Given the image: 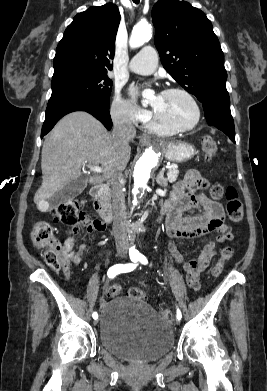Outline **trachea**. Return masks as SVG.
Masks as SVG:
<instances>
[{
  "instance_id": "1",
  "label": "trachea",
  "mask_w": 267,
  "mask_h": 391,
  "mask_svg": "<svg viewBox=\"0 0 267 391\" xmlns=\"http://www.w3.org/2000/svg\"><path fill=\"white\" fill-rule=\"evenodd\" d=\"M140 0H133L135 4H138Z\"/></svg>"
}]
</instances>
